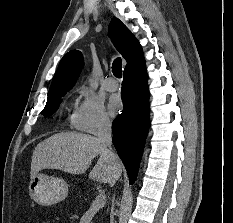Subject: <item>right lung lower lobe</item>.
I'll return each instance as SVG.
<instances>
[{"label": "right lung lower lobe", "instance_id": "obj_1", "mask_svg": "<svg viewBox=\"0 0 233 223\" xmlns=\"http://www.w3.org/2000/svg\"><path fill=\"white\" fill-rule=\"evenodd\" d=\"M145 66L124 73L122 114L113 121V144L126 167L130 184L136 180L149 127V91Z\"/></svg>", "mask_w": 233, "mask_h": 223}]
</instances>
